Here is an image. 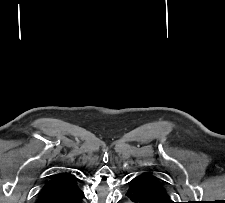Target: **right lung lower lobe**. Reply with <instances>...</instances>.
Here are the masks:
<instances>
[{
  "instance_id": "right-lung-lower-lobe-1",
  "label": "right lung lower lobe",
  "mask_w": 225,
  "mask_h": 203,
  "mask_svg": "<svg viewBox=\"0 0 225 203\" xmlns=\"http://www.w3.org/2000/svg\"><path fill=\"white\" fill-rule=\"evenodd\" d=\"M83 199H84L83 191H80L79 193L73 196H69V197L65 196L60 198L42 197L40 194L39 202L37 201V203H82Z\"/></svg>"
}]
</instances>
